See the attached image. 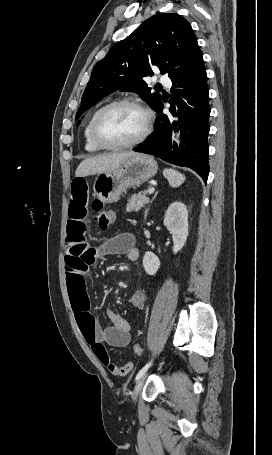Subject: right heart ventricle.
Wrapping results in <instances>:
<instances>
[{
	"mask_svg": "<svg viewBox=\"0 0 272 455\" xmlns=\"http://www.w3.org/2000/svg\"><path fill=\"white\" fill-rule=\"evenodd\" d=\"M95 114V113H94ZM93 114V115H94ZM93 115L89 118L86 126H85V129H84V138H85V149L88 151V152H91V153H97V152H100L102 149L98 148L92 141L91 139V136H90V123H91V120H92V117Z\"/></svg>",
	"mask_w": 272,
	"mask_h": 455,
	"instance_id": "1",
	"label": "right heart ventricle"
}]
</instances>
